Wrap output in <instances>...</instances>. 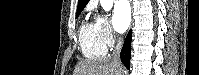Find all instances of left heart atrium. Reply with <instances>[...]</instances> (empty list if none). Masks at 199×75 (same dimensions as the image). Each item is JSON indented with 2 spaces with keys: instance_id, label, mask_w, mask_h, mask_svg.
Here are the masks:
<instances>
[{
  "instance_id": "left-heart-atrium-1",
  "label": "left heart atrium",
  "mask_w": 199,
  "mask_h": 75,
  "mask_svg": "<svg viewBox=\"0 0 199 75\" xmlns=\"http://www.w3.org/2000/svg\"><path fill=\"white\" fill-rule=\"evenodd\" d=\"M114 26L116 31L123 33L131 22V9L127 1H118L114 6Z\"/></svg>"
}]
</instances>
